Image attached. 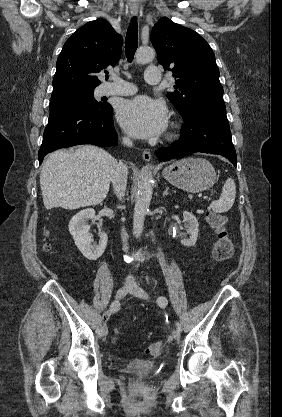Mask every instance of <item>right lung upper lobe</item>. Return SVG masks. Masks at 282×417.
<instances>
[{
	"label": "right lung upper lobe",
	"mask_w": 282,
	"mask_h": 417,
	"mask_svg": "<svg viewBox=\"0 0 282 417\" xmlns=\"http://www.w3.org/2000/svg\"><path fill=\"white\" fill-rule=\"evenodd\" d=\"M122 37L105 19L80 27L64 44L57 59L53 93L94 89L97 73L115 66L121 56Z\"/></svg>",
	"instance_id": "obj_1"
}]
</instances>
